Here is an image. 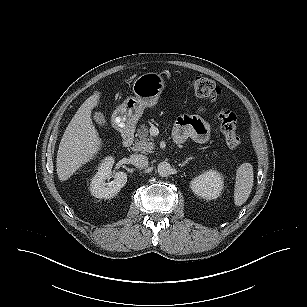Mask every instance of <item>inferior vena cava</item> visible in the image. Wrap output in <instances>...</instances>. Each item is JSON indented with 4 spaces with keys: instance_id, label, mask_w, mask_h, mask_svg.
I'll return each mask as SVG.
<instances>
[{
    "instance_id": "602c4592",
    "label": "inferior vena cava",
    "mask_w": 307,
    "mask_h": 307,
    "mask_svg": "<svg viewBox=\"0 0 307 307\" xmlns=\"http://www.w3.org/2000/svg\"><path fill=\"white\" fill-rule=\"evenodd\" d=\"M130 162L137 168L143 169L148 166V158L142 154H132L130 156Z\"/></svg>"
}]
</instances>
